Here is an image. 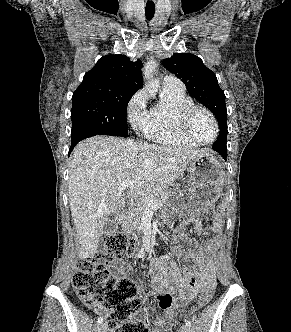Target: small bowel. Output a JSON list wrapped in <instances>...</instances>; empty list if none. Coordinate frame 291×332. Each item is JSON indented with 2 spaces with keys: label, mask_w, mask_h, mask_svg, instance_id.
<instances>
[{
  "label": "small bowel",
  "mask_w": 291,
  "mask_h": 332,
  "mask_svg": "<svg viewBox=\"0 0 291 332\" xmlns=\"http://www.w3.org/2000/svg\"><path fill=\"white\" fill-rule=\"evenodd\" d=\"M194 227L199 235H205L202 219L194 221ZM220 222H215L210 231L219 233ZM174 245L172 253L182 259H192L198 264L195 272L178 265L169 256H155L149 265L151 291L148 295L155 297L163 313L157 317L150 332H169L173 325L175 310L183 307L189 300L194 299L200 292L215 285L214 267L209 257L215 245V239H210L202 246L184 248L191 241L185 233L184 223H180L174 230ZM114 269L120 275L126 274L130 266L126 262L117 263Z\"/></svg>",
  "instance_id": "obj_1"
}]
</instances>
